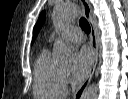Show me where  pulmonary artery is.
I'll use <instances>...</instances> for the list:
<instances>
[{"mask_svg":"<svg viewBox=\"0 0 128 99\" xmlns=\"http://www.w3.org/2000/svg\"><path fill=\"white\" fill-rule=\"evenodd\" d=\"M62 37L64 40L74 43L80 42L83 39L81 31L74 26H70L66 30H64V32L62 33Z\"/></svg>","mask_w":128,"mask_h":99,"instance_id":"e3ab8cb5","label":"pulmonary artery"}]
</instances>
